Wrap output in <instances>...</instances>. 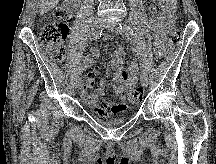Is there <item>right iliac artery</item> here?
Here are the masks:
<instances>
[{
	"label": "right iliac artery",
	"instance_id": "82829eb1",
	"mask_svg": "<svg viewBox=\"0 0 216 164\" xmlns=\"http://www.w3.org/2000/svg\"><path fill=\"white\" fill-rule=\"evenodd\" d=\"M102 35V30H98V31H95L93 34H92V40H97L101 37ZM81 68H76V76L79 77L81 74Z\"/></svg>",
	"mask_w": 216,
	"mask_h": 164
}]
</instances>
